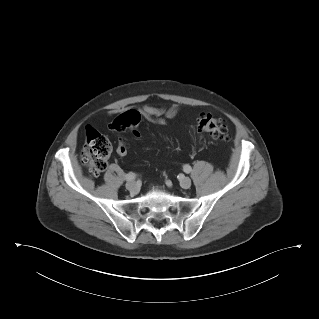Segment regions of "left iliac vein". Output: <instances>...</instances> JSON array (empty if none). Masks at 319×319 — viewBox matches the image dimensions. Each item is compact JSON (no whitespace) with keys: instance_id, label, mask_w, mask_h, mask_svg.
<instances>
[{"instance_id":"4c4485c4","label":"left iliac vein","mask_w":319,"mask_h":319,"mask_svg":"<svg viewBox=\"0 0 319 319\" xmlns=\"http://www.w3.org/2000/svg\"><path fill=\"white\" fill-rule=\"evenodd\" d=\"M180 185H181L182 188L188 189L191 186L190 178L185 177V176L181 177L180 178Z\"/></svg>"}]
</instances>
